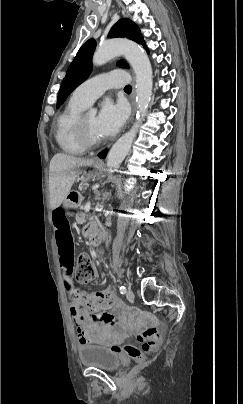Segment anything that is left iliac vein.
Masks as SVG:
<instances>
[{
	"label": "left iliac vein",
	"mask_w": 243,
	"mask_h": 404,
	"mask_svg": "<svg viewBox=\"0 0 243 404\" xmlns=\"http://www.w3.org/2000/svg\"><path fill=\"white\" fill-rule=\"evenodd\" d=\"M126 297H127V299H129V300H133V299H134V293H133V291L129 289V290L126 292Z\"/></svg>",
	"instance_id": "left-iliac-vein-1"
}]
</instances>
